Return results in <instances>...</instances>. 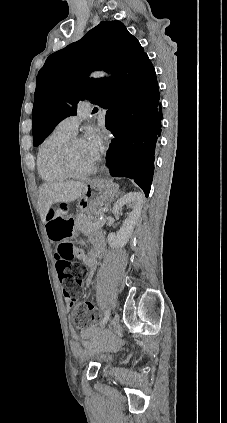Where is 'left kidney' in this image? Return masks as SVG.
I'll list each match as a JSON object with an SVG mask.
<instances>
[{
    "label": "left kidney",
    "instance_id": "left-kidney-1",
    "mask_svg": "<svg viewBox=\"0 0 227 423\" xmlns=\"http://www.w3.org/2000/svg\"><path fill=\"white\" fill-rule=\"evenodd\" d=\"M142 204L143 196L140 192H130V194H126V196H123V198H120V200H117L116 204H114V213H119L123 206L132 208V211L128 213L126 219L123 221V225H121L117 233H113V231L109 233L108 243L110 247H123V245L129 241V237L135 227V223L140 217Z\"/></svg>",
    "mask_w": 227,
    "mask_h": 423
}]
</instances>
